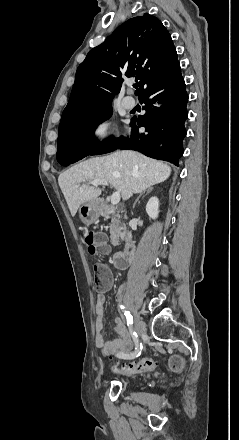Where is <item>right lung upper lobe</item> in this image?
I'll use <instances>...</instances> for the list:
<instances>
[{"instance_id":"right-lung-upper-lobe-1","label":"right lung upper lobe","mask_w":239,"mask_h":440,"mask_svg":"<svg viewBox=\"0 0 239 440\" xmlns=\"http://www.w3.org/2000/svg\"><path fill=\"white\" fill-rule=\"evenodd\" d=\"M177 63L171 36L158 18L146 13L129 19L91 49L77 68L60 123L110 105L125 77L140 80V95Z\"/></svg>"}]
</instances>
